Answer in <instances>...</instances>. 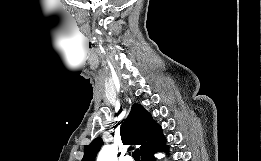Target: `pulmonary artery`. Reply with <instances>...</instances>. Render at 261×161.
Returning <instances> with one entry per match:
<instances>
[{
	"instance_id": "e3ab8cb5",
	"label": "pulmonary artery",
	"mask_w": 261,
	"mask_h": 161,
	"mask_svg": "<svg viewBox=\"0 0 261 161\" xmlns=\"http://www.w3.org/2000/svg\"><path fill=\"white\" fill-rule=\"evenodd\" d=\"M123 161H133L131 156H125Z\"/></svg>"
}]
</instances>
